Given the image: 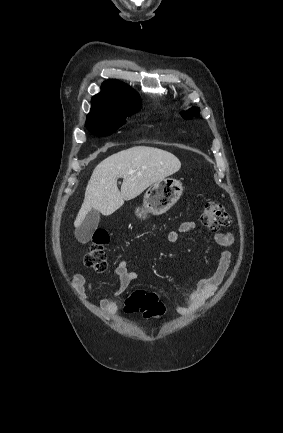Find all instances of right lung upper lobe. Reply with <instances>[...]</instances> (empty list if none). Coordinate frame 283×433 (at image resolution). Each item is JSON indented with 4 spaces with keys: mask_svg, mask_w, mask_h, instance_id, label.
<instances>
[{
    "mask_svg": "<svg viewBox=\"0 0 283 433\" xmlns=\"http://www.w3.org/2000/svg\"><path fill=\"white\" fill-rule=\"evenodd\" d=\"M89 114L141 109L139 95L128 85L118 80H107L102 84L101 92L92 97Z\"/></svg>",
    "mask_w": 283,
    "mask_h": 433,
    "instance_id": "1",
    "label": "right lung upper lobe"
}]
</instances>
